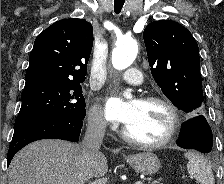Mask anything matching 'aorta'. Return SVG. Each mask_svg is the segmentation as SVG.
<instances>
[{"label":"aorta","mask_w":224,"mask_h":184,"mask_svg":"<svg viewBox=\"0 0 224 184\" xmlns=\"http://www.w3.org/2000/svg\"><path fill=\"white\" fill-rule=\"evenodd\" d=\"M138 44L133 38H121L112 52V65L117 70L128 68L135 60Z\"/></svg>","instance_id":"762f6f07"}]
</instances>
